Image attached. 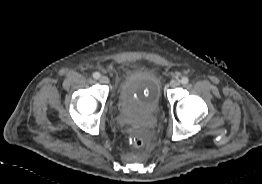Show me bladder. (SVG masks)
Instances as JSON below:
<instances>
[{"mask_svg":"<svg viewBox=\"0 0 262 184\" xmlns=\"http://www.w3.org/2000/svg\"><path fill=\"white\" fill-rule=\"evenodd\" d=\"M160 98L161 82L158 75L150 68L134 69L124 76L120 83L119 109L129 121L139 119V103L154 111L159 106Z\"/></svg>","mask_w":262,"mask_h":184,"instance_id":"obj_1","label":"bladder"}]
</instances>
